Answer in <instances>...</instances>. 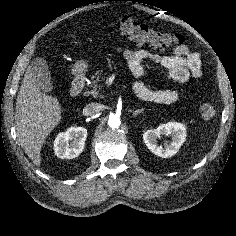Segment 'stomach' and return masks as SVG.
Segmentation results:
<instances>
[{"label":"stomach","mask_w":236,"mask_h":236,"mask_svg":"<svg viewBox=\"0 0 236 236\" xmlns=\"http://www.w3.org/2000/svg\"><path fill=\"white\" fill-rule=\"evenodd\" d=\"M87 70H88V64L84 60L77 61L72 69L73 73L77 76L85 74Z\"/></svg>","instance_id":"obj_1"}]
</instances>
